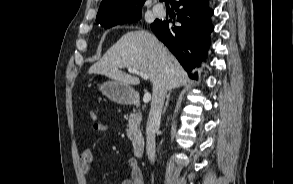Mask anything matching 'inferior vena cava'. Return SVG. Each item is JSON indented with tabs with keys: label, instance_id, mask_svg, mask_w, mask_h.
I'll return each mask as SVG.
<instances>
[{
	"label": "inferior vena cava",
	"instance_id": "602c4592",
	"mask_svg": "<svg viewBox=\"0 0 293 184\" xmlns=\"http://www.w3.org/2000/svg\"><path fill=\"white\" fill-rule=\"evenodd\" d=\"M166 92L165 88H161L158 93L153 95L146 125V152L151 163L155 162V133L160 126Z\"/></svg>",
	"mask_w": 293,
	"mask_h": 184
}]
</instances>
